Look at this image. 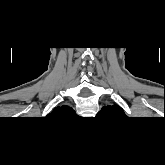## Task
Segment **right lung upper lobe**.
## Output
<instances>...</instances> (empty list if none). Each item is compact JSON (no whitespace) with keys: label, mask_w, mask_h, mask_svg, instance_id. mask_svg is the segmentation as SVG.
Instances as JSON below:
<instances>
[{"label":"right lung upper lobe","mask_w":165,"mask_h":165,"mask_svg":"<svg viewBox=\"0 0 165 165\" xmlns=\"http://www.w3.org/2000/svg\"><path fill=\"white\" fill-rule=\"evenodd\" d=\"M75 114V111L66 105L57 106L54 108V110L47 116L49 118H67L68 116H71Z\"/></svg>","instance_id":"cb5924a9"}]
</instances>
